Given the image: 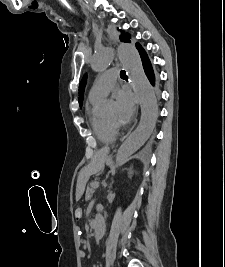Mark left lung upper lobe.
I'll return each instance as SVG.
<instances>
[{"instance_id":"1","label":"left lung upper lobe","mask_w":225,"mask_h":267,"mask_svg":"<svg viewBox=\"0 0 225 267\" xmlns=\"http://www.w3.org/2000/svg\"><path fill=\"white\" fill-rule=\"evenodd\" d=\"M121 41L130 42L129 41V35H121ZM86 82H87V76L84 75V77L82 78V81L80 83V86H79V105H80V107L82 106V103H83V93H84V88H85Z\"/></svg>"}]
</instances>
